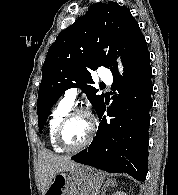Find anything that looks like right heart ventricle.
<instances>
[{
	"label": "right heart ventricle",
	"mask_w": 178,
	"mask_h": 195,
	"mask_svg": "<svg viewBox=\"0 0 178 195\" xmlns=\"http://www.w3.org/2000/svg\"><path fill=\"white\" fill-rule=\"evenodd\" d=\"M72 105L66 103L61 99L50 113L48 121V139L51 148L56 152H63L62 149L55 141V132L58 124L62 118L71 110Z\"/></svg>",
	"instance_id": "right-heart-ventricle-1"
}]
</instances>
